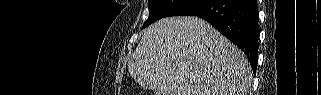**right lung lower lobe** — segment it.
I'll list each match as a JSON object with an SVG mask.
<instances>
[{
	"mask_svg": "<svg viewBox=\"0 0 321 95\" xmlns=\"http://www.w3.org/2000/svg\"><path fill=\"white\" fill-rule=\"evenodd\" d=\"M191 15L208 21L237 45L256 72L258 62L259 12L256 0H208Z\"/></svg>",
	"mask_w": 321,
	"mask_h": 95,
	"instance_id": "1",
	"label": "right lung lower lobe"
}]
</instances>
